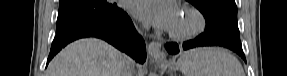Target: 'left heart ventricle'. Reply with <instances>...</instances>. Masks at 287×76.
<instances>
[{"label":"left heart ventricle","instance_id":"obj_1","mask_svg":"<svg viewBox=\"0 0 287 76\" xmlns=\"http://www.w3.org/2000/svg\"><path fill=\"white\" fill-rule=\"evenodd\" d=\"M194 19L191 15L179 13L177 21L172 27L173 30L183 31L190 28L193 25Z\"/></svg>","mask_w":287,"mask_h":76}]
</instances>
